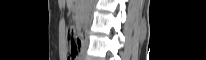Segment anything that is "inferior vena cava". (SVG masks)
I'll return each mask as SVG.
<instances>
[{
  "mask_svg": "<svg viewBox=\"0 0 206 60\" xmlns=\"http://www.w3.org/2000/svg\"><path fill=\"white\" fill-rule=\"evenodd\" d=\"M90 2H91V0H90ZM86 22L87 23L90 22L89 12H87V15H86Z\"/></svg>",
  "mask_w": 206,
  "mask_h": 60,
  "instance_id": "602c4592",
  "label": "inferior vena cava"
}]
</instances>
